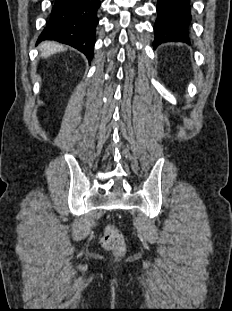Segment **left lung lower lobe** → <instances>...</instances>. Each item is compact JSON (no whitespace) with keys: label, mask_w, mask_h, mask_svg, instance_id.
I'll list each match as a JSON object with an SVG mask.
<instances>
[{"label":"left lung lower lobe","mask_w":232,"mask_h":311,"mask_svg":"<svg viewBox=\"0 0 232 311\" xmlns=\"http://www.w3.org/2000/svg\"><path fill=\"white\" fill-rule=\"evenodd\" d=\"M154 47L164 42H188L190 0H158Z\"/></svg>","instance_id":"left-lung-lower-lobe-1"}]
</instances>
